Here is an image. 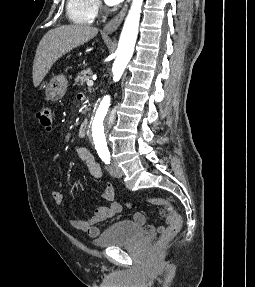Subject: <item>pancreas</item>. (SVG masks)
Wrapping results in <instances>:
<instances>
[{
	"instance_id": "cf45deb5",
	"label": "pancreas",
	"mask_w": 255,
	"mask_h": 287,
	"mask_svg": "<svg viewBox=\"0 0 255 287\" xmlns=\"http://www.w3.org/2000/svg\"><path fill=\"white\" fill-rule=\"evenodd\" d=\"M92 70L90 68H87V70H82V72H79L77 78H75V84H78V86H83L84 82H87V80H90L92 78Z\"/></svg>"
}]
</instances>
